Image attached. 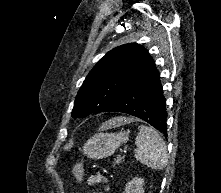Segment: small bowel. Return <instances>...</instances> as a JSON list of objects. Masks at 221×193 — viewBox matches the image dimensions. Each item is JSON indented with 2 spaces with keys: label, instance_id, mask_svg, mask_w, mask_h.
Masks as SVG:
<instances>
[{
  "label": "small bowel",
  "instance_id": "1",
  "mask_svg": "<svg viewBox=\"0 0 221 193\" xmlns=\"http://www.w3.org/2000/svg\"><path fill=\"white\" fill-rule=\"evenodd\" d=\"M107 183H108V178L102 172H96V173L92 174L91 176H89L87 179V184L89 186L103 185L104 191L108 190ZM96 193H104V192L100 191V192H96Z\"/></svg>",
  "mask_w": 221,
  "mask_h": 193
}]
</instances>
